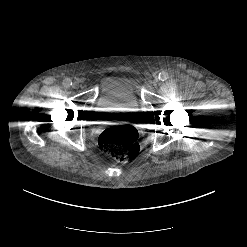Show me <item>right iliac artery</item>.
<instances>
[{
	"mask_svg": "<svg viewBox=\"0 0 247 247\" xmlns=\"http://www.w3.org/2000/svg\"><path fill=\"white\" fill-rule=\"evenodd\" d=\"M63 85L65 88H69L72 85V81L70 79H65Z\"/></svg>",
	"mask_w": 247,
	"mask_h": 247,
	"instance_id": "right-iliac-artery-1",
	"label": "right iliac artery"
}]
</instances>
